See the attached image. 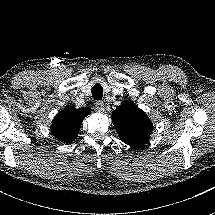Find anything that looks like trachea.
Listing matches in <instances>:
<instances>
[{
  "instance_id": "obj_1",
  "label": "trachea",
  "mask_w": 215,
  "mask_h": 215,
  "mask_svg": "<svg viewBox=\"0 0 215 215\" xmlns=\"http://www.w3.org/2000/svg\"><path fill=\"white\" fill-rule=\"evenodd\" d=\"M91 91H92V96H93L94 99H96V100H101L102 99V97H103V88H102V86L100 84H98V83L95 84L92 87Z\"/></svg>"
}]
</instances>
